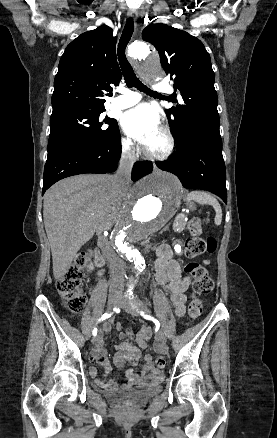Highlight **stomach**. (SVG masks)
<instances>
[{
  "label": "stomach",
  "instance_id": "0dacf381",
  "mask_svg": "<svg viewBox=\"0 0 277 438\" xmlns=\"http://www.w3.org/2000/svg\"><path fill=\"white\" fill-rule=\"evenodd\" d=\"M187 207L190 209H194V204L192 202H188Z\"/></svg>",
  "mask_w": 277,
  "mask_h": 438
}]
</instances>
